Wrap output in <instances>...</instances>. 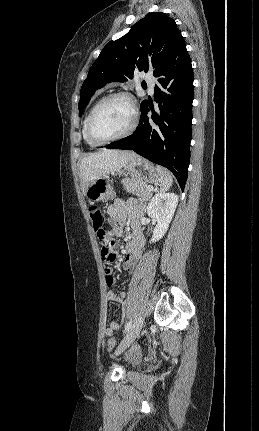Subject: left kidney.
I'll return each mask as SVG.
<instances>
[{
  "label": "left kidney",
  "instance_id": "5707ae66",
  "mask_svg": "<svg viewBox=\"0 0 259 431\" xmlns=\"http://www.w3.org/2000/svg\"><path fill=\"white\" fill-rule=\"evenodd\" d=\"M177 204L178 196L175 193H157L150 200L147 214L157 222L150 243L159 241L165 235Z\"/></svg>",
  "mask_w": 259,
  "mask_h": 431
}]
</instances>
